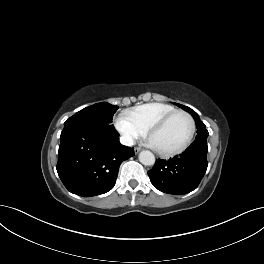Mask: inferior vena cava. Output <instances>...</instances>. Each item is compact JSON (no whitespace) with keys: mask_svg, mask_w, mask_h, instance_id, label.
<instances>
[{"mask_svg":"<svg viewBox=\"0 0 264 264\" xmlns=\"http://www.w3.org/2000/svg\"><path fill=\"white\" fill-rule=\"evenodd\" d=\"M120 142H121V144H123L125 146H133L134 145V140L132 139V137L127 136V135L121 136Z\"/></svg>","mask_w":264,"mask_h":264,"instance_id":"obj_1","label":"inferior vena cava"}]
</instances>
